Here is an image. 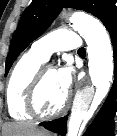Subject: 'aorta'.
Segmentation results:
<instances>
[{"mask_svg":"<svg viewBox=\"0 0 117 136\" xmlns=\"http://www.w3.org/2000/svg\"><path fill=\"white\" fill-rule=\"evenodd\" d=\"M70 22L87 43L88 67L92 87L80 90L73 101L67 126V136H77L83 120L90 117L109 92L113 78V48L110 36L97 19L83 14L73 13ZM93 86L96 88L94 91Z\"/></svg>","mask_w":117,"mask_h":136,"instance_id":"obj_1","label":"aorta"}]
</instances>
